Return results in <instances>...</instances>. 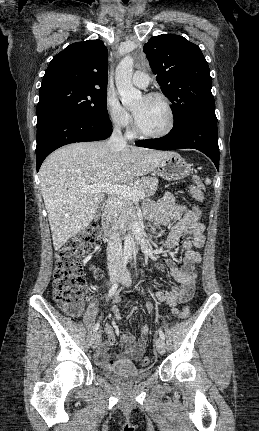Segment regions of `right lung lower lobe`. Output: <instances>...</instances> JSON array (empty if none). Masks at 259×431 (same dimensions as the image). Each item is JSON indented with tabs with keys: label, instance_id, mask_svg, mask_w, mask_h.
<instances>
[{
	"label": "right lung lower lobe",
	"instance_id": "obj_1",
	"mask_svg": "<svg viewBox=\"0 0 259 431\" xmlns=\"http://www.w3.org/2000/svg\"><path fill=\"white\" fill-rule=\"evenodd\" d=\"M37 171L57 148L74 142L107 139L112 133L110 119H95L71 112H57L37 121Z\"/></svg>",
	"mask_w": 259,
	"mask_h": 431
}]
</instances>
